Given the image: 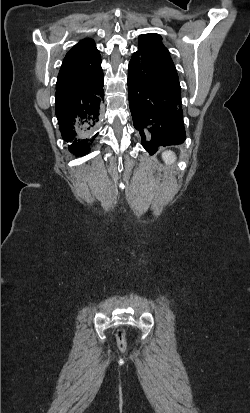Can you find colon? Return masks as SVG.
<instances>
[{
  "instance_id": "obj_1",
  "label": "colon",
  "mask_w": 250,
  "mask_h": 413,
  "mask_svg": "<svg viewBox=\"0 0 250 413\" xmlns=\"http://www.w3.org/2000/svg\"><path fill=\"white\" fill-rule=\"evenodd\" d=\"M115 339L118 343V347L120 350H125L126 343H125V332L122 328H117L115 330Z\"/></svg>"
}]
</instances>
